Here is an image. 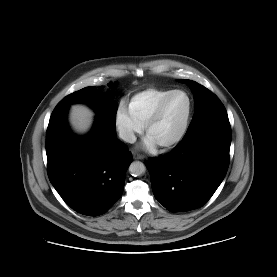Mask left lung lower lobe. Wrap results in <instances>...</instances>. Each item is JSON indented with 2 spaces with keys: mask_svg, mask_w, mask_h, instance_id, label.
Segmentation results:
<instances>
[{
  "mask_svg": "<svg viewBox=\"0 0 277 277\" xmlns=\"http://www.w3.org/2000/svg\"><path fill=\"white\" fill-rule=\"evenodd\" d=\"M230 144L227 113L188 129L171 152L146 162L155 198L171 212L203 206L227 173Z\"/></svg>",
  "mask_w": 277,
  "mask_h": 277,
  "instance_id": "obj_1",
  "label": "left lung lower lobe"
}]
</instances>
